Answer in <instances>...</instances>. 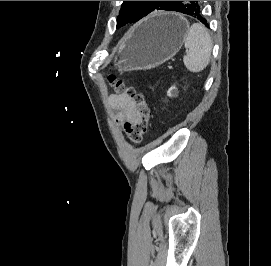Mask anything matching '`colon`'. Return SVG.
I'll return each instance as SVG.
<instances>
[{
	"mask_svg": "<svg viewBox=\"0 0 271 266\" xmlns=\"http://www.w3.org/2000/svg\"><path fill=\"white\" fill-rule=\"evenodd\" d=\"M110 85L117 91L128 96L135 104L137 118L124 124V131L132 143H140L149 127L150 108L144 96L131 87H125L114 75L108 76Z\"/></svg>",
	"mask_w": 271,
	"mask_h": 266,
	"instance_id": "1",
	"label": "colon"
}]
</instances>
